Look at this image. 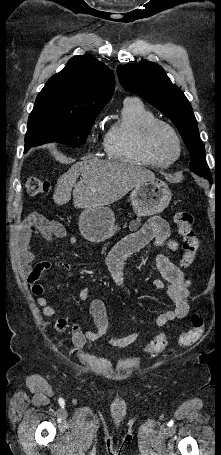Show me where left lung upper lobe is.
Wrapping results in <instances>:
<instances>
[{
  "label": "left lung upper lobe",
  "instance_id": "obj_1",
  "mask_svg": "<svg viewBox=\"0 0 221 455\" xmlns=\"http://www.w3.org/2000/svg\"><path fill=\"white\" fill-rule=\"evenodd\" d=\"M117 74L125 90L142 97L171 119L190 152V169L210 179L205 148L192 107L181 89L172 84L164 69L154 62L143 60L118 66Z\"/></svg>",
  "mask_w": 221,
  "mask_h": 455
}]
</instances>
